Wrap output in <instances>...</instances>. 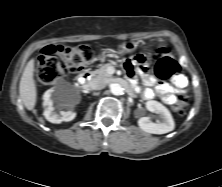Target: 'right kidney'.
<instances>
[{
    "label": "right kidney",
    "mask_w": 222,
    "mask_h": 187,
    "mask_svg": "<svg viewBox=\"0 0 222 187\" xmlns=\"http://www.w3.org/2000/svg\"><path fill=\"white\" fill-rule=\"evenodd\" d=\"M43 100V106L45 107L44 116L49 122L59 124L63 121H71L76 117V113L71 110L60 111L59 113L54 111V100L61 102L60 106H64L63 99L58 96L54 89L46 91L43 95Z\"/></svg>",
    "instance_id": "ca27d5eb"
}]
</instances>
